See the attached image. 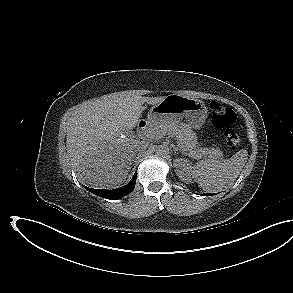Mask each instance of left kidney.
<instances>
[{
	"label": "left kidney",
	"mask_w": 293,
	"mask_h": 293,
	"mask_svg": "<svg viewBox=\"0 0 293 293\" xmlns=\"http://www.w3.org/2000/svg\"><path fill=\"white\" fill-rule=\"evenodd\" d=\"M174 167L177 176L185 183H189L191 181V172L192 165L191 163L184 158H177L174 160Z\"/></svg>",
	"instance_id": "5707ae66"
}]
</instances>
